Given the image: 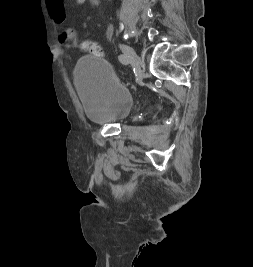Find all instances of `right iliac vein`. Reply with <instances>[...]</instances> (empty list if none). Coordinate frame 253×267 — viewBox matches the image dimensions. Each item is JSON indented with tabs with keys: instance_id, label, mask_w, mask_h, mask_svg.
<instances>
[{
	"instance_id": "right-iliac-vein-1",
	"label": "right iliac vein",
	"mask_w": 253,
	"mask_h": 267,
	"mask_svg": "<svg viewBox=\"0 0 253 267\" xmlns=\"http://www.w3.org/2000/svg\"><path fill=\"white\" fill-rule=\"evenodd\" d=\"M119 48L124 53V55H126L130 59H132L136 65L141 64V61H140L138 55L136 54V52L134 51V49L132 47H130L129 45H126V44H119Z\"/></svg>"
}]
</instances>
